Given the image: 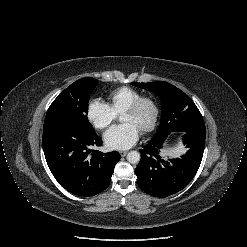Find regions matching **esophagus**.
Here are the masks:
<instances>
[{
  "instance_id": "obj_1",
  "label": "esophagus",
  "mask_w": 247,
  "mask_h": 247,
  "mask_svg": "<svg viewBox=\"0 0 247 247\" xmlns=\"http://www.w3.org/2000/svg\"><path fill=\"white\" fill-rule=\"evenodd\" d=\"M122 157L126 156L127 152L126 151H120L119 152Z\"/></svg>"
}]
</instances>
